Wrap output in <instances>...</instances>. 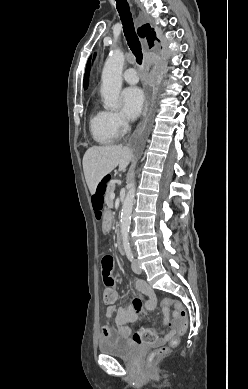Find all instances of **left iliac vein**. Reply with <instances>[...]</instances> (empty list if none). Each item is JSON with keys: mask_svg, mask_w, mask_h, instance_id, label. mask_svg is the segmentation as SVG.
<instances>
[{"mask_svg": "<svg viewBox=\"0 0 248 389\" xmlns=\"http://www.w3.org/2000/svg\"><path fill=\"white\" fill-rule=\"evenodd\" d=\"M132 270H133V272L136 273V274L142 273L141 266H140V264H139V262H138L137 260H134V261L132 262Z\"/></svg>", "mask_w": 248, "mask_h": 389, "instance_id": "1", "label": "left iliac vein"}]
</instances>
